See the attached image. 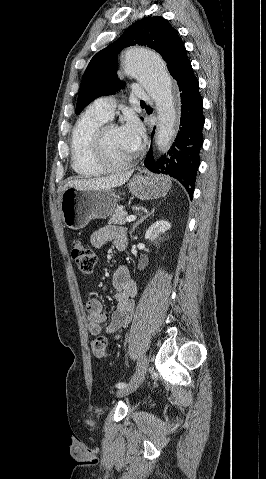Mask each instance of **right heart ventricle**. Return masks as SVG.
I'll use <instances>...</instances> for the list:
<instances>
[{
	"instance_id": "1",
	"label": "right heart ventricle",
	"mask_w": 266,
	"mask_h": 479,
	"mask_svg": "<svg viewBox=\"0 0 266 479\" xmlns=\"http://www.w3.org/2000/svg\"><path fill=\"white\" fill-rule=\"evenodd\" d=\"M107 120L87 110L77 121L71 137V163L74 171L83 177L105 173L92 159L91 149L95 131Z\"/></svg>"
}]
</instances>
